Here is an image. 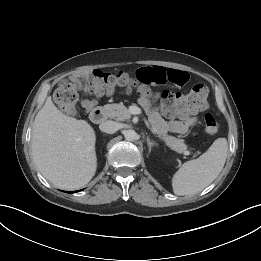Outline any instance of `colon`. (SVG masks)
Here are the masks:
<instances>
[{"label": "colon", "mask_w": 261, "mask_h": 261, "mask_svg": "<svg viewBox=\"0 0 261 261\" xmlns=\"http://www.w3.org/2000/svg\"><path fill=\"white\" fill-rule=\"evenodd\" d=\"M140 84H144V82L139 76L136 81L126 72L109 73L96 69L63 80L55 91L54 100L60 110L73 115L77 110L78 89H82L88 94L104 96L114 93L120 88L138 87L141 93L149 95V91ZM207 97V87L203 84H196L185 94L163 91L159 95V101L165 114L173 117L203 111L208 104ZM204 128L208 134H215L218 131L219 124L213 115H205Z\"/></svg>", "instance_id": "obj_1"}]
</instances>
